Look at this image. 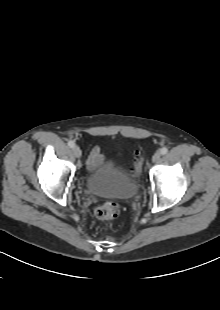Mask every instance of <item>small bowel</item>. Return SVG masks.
Here are the masks:
<instances>
[{
  "instance_id": "c3829d8e",
  "label": "small bowel",
  "mask_w": 220,
  "mask_h": 310,
  "mask_svg": "<svg viewBox=\"0 0 220 310\" xmlns=\"http://www.w3.org/2000/svg\"><path fill=\"white\" fill-rule=\"evenodd\" d=\"M104 161V155L99 147H94L87 159V166L90 170L96 169Z\"/></svg>"
}]
</instances>
